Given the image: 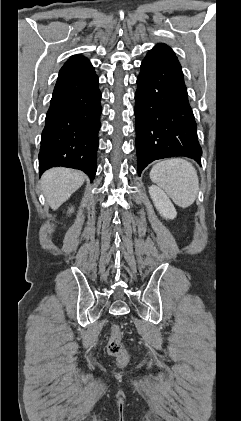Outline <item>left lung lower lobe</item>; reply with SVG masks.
I'll list each match as a JSON object with an SVG mask.
<instances>
[{
    "instance_id": "1",
    "label": "left lung lower lobe",
    "mask_w": 241,
    "mask_h": 421,
    "mask_svg": "<svg viewBox=\"0 0 241 421\" xmlns=\"http://www.w3.org/2000/svg\"><path fill=\"white\" fill-rule=\"evenodd\" d=\"M135 94L138 174L152 161L186 156L201 163L202 150L181 66L165 44L151 49L141 64Z\"/></svg>"
}]
</instances>
